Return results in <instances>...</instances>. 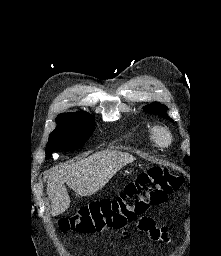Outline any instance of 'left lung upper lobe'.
Returning <instances> with one entry per match:
<instances>
[{
	"label": "left lung upper lobe",
	"mask_w": 221,
	"mask_h": 256,
	"mask_svg": "<svg viewBox=\"0 0 221 256\" xmlns=\"http://www.w3.org/2000/svg\"><path fill=\"white\" fill-rule=\"evenodd\" d=\"M144 110L148 113L151 114H158L161 117H164L166 119H170V117L167 115L166 111H167V107L165 105L160 104L159 102H154L151 104H148L144 107ZM171 121H173L172 119H170ZM184 161L186 164H188V158L185 157Z\"/></svg>",
	"instance_id": "obj_1"
}]
</instances>
